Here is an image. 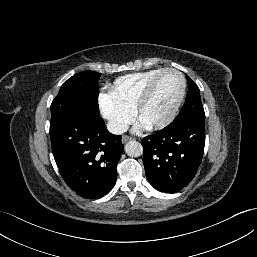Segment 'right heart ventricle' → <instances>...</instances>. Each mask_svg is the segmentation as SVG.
Listing matches in <instances>:
<instances>
[{
    "label": "right heart ventricle",
    "instance_id": "1",
    "mask_svg": "<svg viewBox=\"0 0 257 257\" xmlns=\"http://www.w3.org/2000/svg\"><path fill=\"white\" fill-rule=\"evenodd\" d=\"M163 69H151L122 76L115 80L108 95L117 103L132 110L147 85Z\"/></svg>",
    "mask_w": 257,
    "mask_h": 257
}]
</instances>
